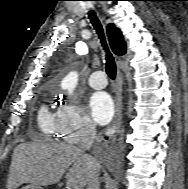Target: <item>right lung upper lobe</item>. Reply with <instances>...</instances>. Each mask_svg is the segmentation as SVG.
<instances>
[{"label":"right lung upper lobe","instance_id":"1","mask_svg":"<svg viewBox=\"0 0 188 189\" xmlns=\"http://www.w3.org/2000/svg\"><path fill=\"white\" fill-rule=\"evenodd\" d=\"M107 35L110 42L112 51L116 55H123L126 53V43L124 41L121 31L115 27L114 24H109L107 26Z\"/></svg>","mask_w":188,"mask_h":189}]
</instances>
